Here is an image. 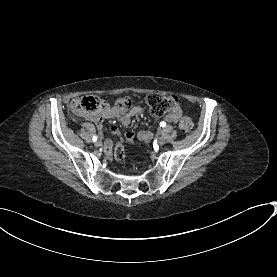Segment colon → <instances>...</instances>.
<instances>
[{
  "instance_id": "5ec220e1",
  "label": "colon",
  "mask_w": 277,
  "mask_h": 277,
  "mask_svg": "<svg viewBox=\"0 0 277 277\" xmlns=\"http://www.w3.org/2000/svg\"><path fill=\"white\" fill-rule=\"evenodd\" d=\"M144 102L150 110V113L155 117H161L170 112H176L177 101L173 96L163 95L160 93H149L145 96ZM75 108H81L88 113L95 115L101 114L104 111L105 105L101 99H98L97 94H86L81 100L75 99L72 102ZM132 102L130 97H122L116 100V109L125 113L131 108ZM179 128L182 132L188 133L192 129V120L187 116L180 117ZM114 157L117 162H124L126 154L123 144H118L114 149Z\"/></svg>"
}]
</instances>
